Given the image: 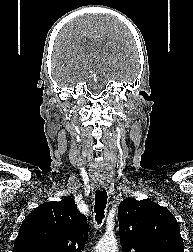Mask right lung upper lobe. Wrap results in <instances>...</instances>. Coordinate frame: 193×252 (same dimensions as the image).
Here are the masks:
<instances>
[{
    "label": "right lung upper lobe",
    "instance_id": "1",
    "mask_svg": "<svg viewBox=\"0 0 193 252\" xmlns=\"http://www.w3.org/2000/svg\"><path fill=\"white\" fill-rule=\"evenodd\" d=\"M87 218L71 197L46 202L22 222L14 252H80L87 241Z\"/></svg>",
    "mask_w": 193,
    "mask_h": 252
}]
</instances>
